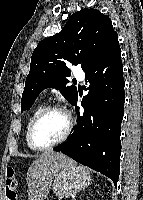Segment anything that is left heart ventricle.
Segmentation results:
<instances>
[{
  "mask_svg": "<svg viewBox=\"0 0 143 200\" xmlns=\"http://www.w3.org/2000/svg\"><path fill=\"white\" fill-rule=\"evenodd\" d=\"M67 126L66 116L59 111L45 115L36 125L33 133L37 145L45 146L58 140Z\"/></svg>",
  "mask_w": 143,
  "mask_h": 200,
  "instance_id": "left-heart-ventricle-1",
  "label": "left heart ventricle"
}]
</instances>
